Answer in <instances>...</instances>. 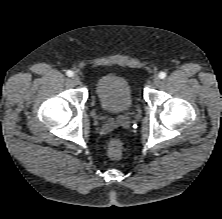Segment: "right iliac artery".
Instances as JSON below:
<instances>
[{"instance_id":"1","label":"right iliac artery","mask_w":222,"mask_h":219,"mask_svg":"<svg viewBox=\"0 0 222 219\" xmlns=\"http://www.w3.org/2000/svg\"><path fill=\"white\" fill-rule=\"evenodd\" d=\"M73 74H74V73H73L71 70H68V71L66 72V75H67L68 77H72Z\"/></svg>"}]
</instances>
